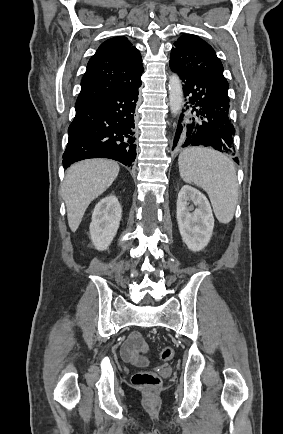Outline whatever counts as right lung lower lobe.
<instances>
[{
    "label": "right lung lower lobe",
    "instance_id": "obj_1",
    "mask_svg": "<svg viewBox=\"0 0 283 434\" xmlns=\"http://www.w3.org/2000/svg\"><path fill=\"white\" fill-rule=\"evenodd\" d=\"M140 86L141 81L75 107L63 154L65 168L88 158H109L131 166L136 158L134 113Z\"/></svg>",
    "mask_w": 283,
    "mask_h": 434
}]
</instances>
